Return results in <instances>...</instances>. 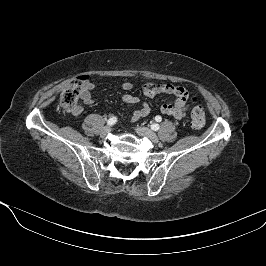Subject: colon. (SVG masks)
Masks as SVG:
<instances>
[{
  "instance_id": "obj_1",
  "label": "colon",
  "mask_w": 266,
  "mask_h": 266,
  "mask_svg": "<svg viewBox=\"0 0 266 266\" xmlns=\"http://www.w3.org/2000/svg\"><path fill=\"white\" fill-rule=\"evenodd\" d=\"M86 77L76 79L71 85L62 93L60 98L61 106L68 112H73L77 108L80 97L81 86ZM191 127L195 130H200L205 124L204 109L198 105L193 104L190 116Z\"/></svg>"
}]
</instances>
